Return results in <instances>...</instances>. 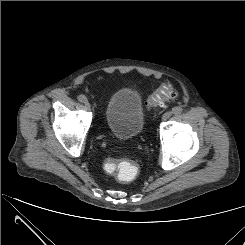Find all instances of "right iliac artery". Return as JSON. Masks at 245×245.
<instances>
[{"label":"right iliac artery","mask_w":245,"mask_h":245,"mask_svg":"<svg viewBox=\"0 0 245 245\" xmlns=\"http://www.w3.org/2000/svg\"><path fill=\"white\" fill-rule=\"evenodd\" d=\"M78 100H79L80 102H84V101L87 100V99H86V97H85L84 95H79V96H78Z\"/></svg>","instance_id":"right-iliac-artery-1"}]
</instances>
